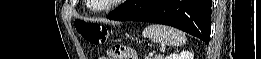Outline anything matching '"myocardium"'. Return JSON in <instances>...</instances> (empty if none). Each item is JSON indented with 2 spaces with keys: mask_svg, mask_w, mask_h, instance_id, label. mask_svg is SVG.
I'll return each instance as SVG.
<instances>
[{
  "mask_svg": "<svg viewBox=\"0 0 261 59\" xmlns=\"http://www.w3.org/2000/svg\"><path fill=\"white\" fill-rule=\"evenodd\" d=\"M117 2H120V0H107V3H105L102 6H99L96 8L97 11H106L111 9Z\"/></svg>",
  "mask_w": 261,
  "mask_h": 59,
  "instance_id": "1",
  "label": "myocardium"
}]
</instances>
